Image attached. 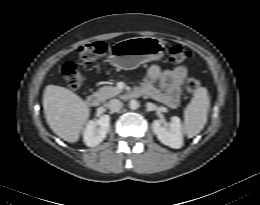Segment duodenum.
<instances>
[{
	"instance_id": "duodenum-1",
	"label": "duodenum",
	"mask_w": 260,
	"mask_h": 205,
	"mask_svg": "<svg viewBox=\"0 0 260 205\" xmlns=\"http://www.w3.org/2000/svg\"><path fill=\"white\" fill-rule=\"evenodd\" d=\"M142 95L141 90H134L123 94V97L127 99L137 98ZM85 101L90 108H98L101 105V99L97 94H89L86 96Z\"/></svg>"
}]
</instances>
